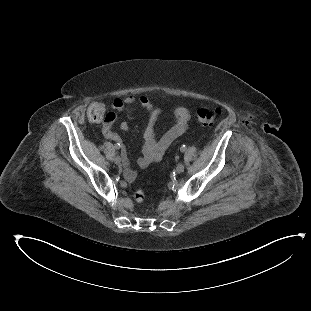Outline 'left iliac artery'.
Instances as JSON below:
<instances>
[{"mask_svg": "<svg viewBox=\"0 0 311 311\" xmlns=\"http://www.w3.org/2000/svg\"><path fill=\"white\" fill-rule=\"evenodd\" d=\"M181 152H184L186 150V146L183 145L181 148H180Z\"/></svg>", "mask_w": 311, "mask_h": 311, "instance_id": "1", "label": "left iliac artery"}]
</instances>
